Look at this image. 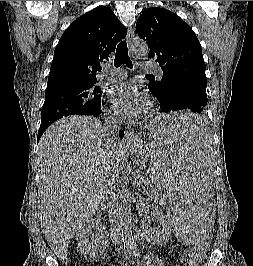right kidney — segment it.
<instances>
[{"label": "right kidney", "instance_id": "obj_1", "mask_svg": "<svg viewBox=\"0 0 253 266\" xmlns=\"http://www.w3.org/2000/svg\"><path fill=\"white\" fill-rule=\"evenodd\" d=\"M104 229V226L95 219H89L78 229L76 241L82 256L96 259L103 255L105 248L108 246Z\"/></svg>", "mask_w": 253, "mask_h": 266}]
</instances>
